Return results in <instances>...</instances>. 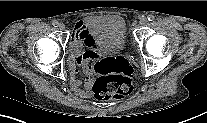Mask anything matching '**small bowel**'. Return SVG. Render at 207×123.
Wrapping results in <instances>:
<instances>
[{"mask_svg":"<svg viewBox=\"0 0 207 123\" xmlns=\"http://www.w3.org/2000/svg\"><path fill=\"white\" fill-rule=\"evenodd\" d=\"M91 42L90 34L86 25L79 21L75 25V35L70 42V87L72 91L79 97L89 98L93 85L94 66L91 61L97 58L94 48L88 46ZM83 45L88 49L83 51ZM78 67H80L85 75L82 83L77 78Z\"/></svg>","mask_w":207,"mask_h":123,"instance_id":"small-bowel-1","label":"small bowel"}]
</instances>
